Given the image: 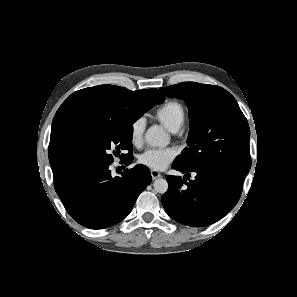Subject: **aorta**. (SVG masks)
Masks as SVG:
<instances>
[{
	"mask_svg": "<svg viewBox=\"0 0 297 297\" xmlns=\"http://www.w3.org/2000/svg\"><path fill=\"white\" fill-rule=\"evenodd\" d=\"M145 140L151 147H162L168 144V135L163 128L154 125L147 130ZM153 187L156 192L164 194L168 189V182L165 179L159 178L155 180Z\"/></svg>",
	"mask_w": 297,
	"mask_h": 297,
	"instance_id": "762f6f07",
	"label": "aorta"
}]
</instances>
